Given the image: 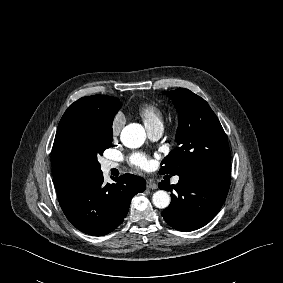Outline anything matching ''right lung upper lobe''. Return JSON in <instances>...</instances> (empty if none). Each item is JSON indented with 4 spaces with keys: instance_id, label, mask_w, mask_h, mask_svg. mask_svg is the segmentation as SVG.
I'll return each mask as SVG.
<instances>
[{
    "instance_id": "cb5924a9",
    "label": "right lung upper lobe",
    "mask_w": 283,
    "mask_h": 283,
    "mask_svg": "<svg viewBox=\"0 0 283 283\" xmlns=\"http://www.w3.org/2000/svg\"><path fill=\"white\" fill-rule=\"evenodd\" d=\"M121 102L116 97L94 95L80 98L69 106L62 116L57 133L55 136L53 149H52V168H53V178L57 193H63L70 187H72L78 180H73L65 177L59 170L57 165V150L60 138V132L64 121L73 114H82L86 116H106L112 112V108L115 105H119ZM111 108V109H110Z\"/></svg>"
}]
</instances>
